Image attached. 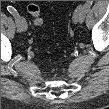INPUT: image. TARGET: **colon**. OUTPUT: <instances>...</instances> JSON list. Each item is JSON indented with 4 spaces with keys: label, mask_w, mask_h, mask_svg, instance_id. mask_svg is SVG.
<instances>
[{
    "label": "colon",
    "mask_w": 109,
    "mask_h": 109,
    "mask_svg": "<svg viewBox=\"0 0 109 109\" xmlns=\"http://www.w3.org/2000/svg\"><path fill=\"white\" fill-rule=\"evenodd\" d=\"M28 11L33 18V22L36 26H41L43 24V18L41 15L40 7L36 4H31L28 6Z\"/></svg>",
    "instance_id": "colon-1"
}]
</instances>
